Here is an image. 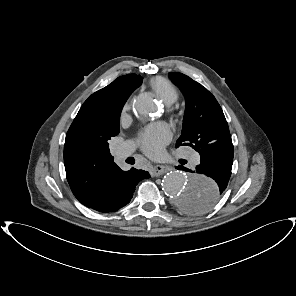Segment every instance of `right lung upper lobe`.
<instances>
[{"label":"right lung upper lobe","instance_id":"cb5924a9","mask_svg":"<svg viewBox=\"0 0 296 296\" xmlns=\"http://www.w3.org/2000/svg\"><path fill=\"white\" fill-rule=\"evenodd\" d=\"M142 77H118L84 102L65 139L64 165L74 196L86 201L120 168L114 163L108 140L119 133L120 113L129 95L141 85Z\"/></svg>","mask_w":296,"mask_h":296}]
</instances>
